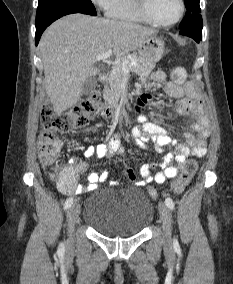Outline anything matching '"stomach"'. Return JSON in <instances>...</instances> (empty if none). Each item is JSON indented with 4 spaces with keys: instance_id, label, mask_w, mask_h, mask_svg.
Returning a JSON list of instances; mask_svg holds the SVG:
<instances>
[{
    "instance_id": "stomach-1",
    "label": "stomach",
    "mask_w": 233,
    "mask_h": 284,
    "mask_svg": "<svg viewBox=\"0 0 233 284\" xmlns=\"http://www.w3.org/2000/svg\"><path fill=\"white\" fill-rule=\"evenodd\" d=\"M165 52L164 41L156 35L146 38L141 47L138 49L139 56L148 63L155 64Z\"/></svg>"
}]
</instances>
